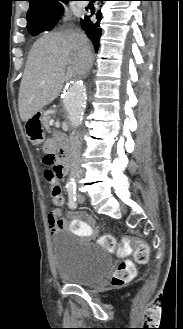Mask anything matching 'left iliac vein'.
I'll use <instances>...</instances> for the list:
<instances>
[{"label": "left iliac vein", "mask_w": 183, "mask_h": 329, "mask_svg": "<svg viewBox=\"0 0 183 329\" xmlns=\"http://www.w3.org/2000/svg\"><path fill=\"white\" fill-rule=\"evenodd\" d=\"M77 200H78L79 203H83L85 201V198H84V196L82 194H79L77 196Z\"/></svg>", "instance_id": "left-iliac-vein-1"}]
</instances>
